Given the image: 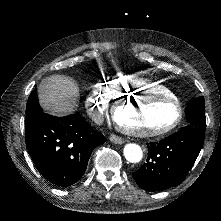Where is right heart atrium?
<instances>
[{
	"label": "right heart atrium",
	"instance_id": "obj_1",
	"mask_svg": "<svg viewBox=\"0 0 221 221\" xmlns=\"http://www.w3.org/2000/svg\"><path fill=\"white\" fill-rule=\"evenodd\" d=\"M109 80L99 81L94 84L91 91L87 95V105L92 107L93 111L99 112L108 109L112 104L113 98L111 97V89L109 88Z\"/></svg>",
	"mask_w": 221,
	"mask_h": 221
}]
</instances>
